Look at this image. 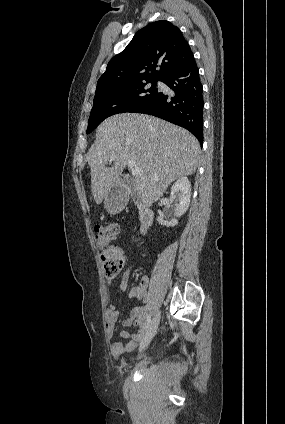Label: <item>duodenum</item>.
I'll list each match as a JSON object with an SVG mask.
<instances>
[{
	"instance_id": "duodenum-1",
	"label": "duodenum",
	"mask_w": 285,
	"mask_h": 424,
	"mask_svg": "<svg viewBox=\"0 0 285 424\" xmlns=\"http://www.w3.org/2000/svg\"><path fill=\"white\" fill-rule=\"evenodd\" d=\"M136 186V181L133 177L123 176L120 179V189L123 190L126 194H130L134 191ZM137 206L140 211V231L145 233L148 231L150 226L153 223L154 213L153 211L141 200H137Z\"/></svg>"
}]
</instances>
